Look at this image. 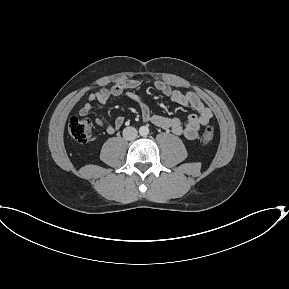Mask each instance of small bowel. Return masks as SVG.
Wrapping results in <instances>:
<instances>
[{"mask_svg": "<svg viewBox=\"0 0 289 289\" xmlns=\"http://www.w3.org/2000/svg\"><path fill=\"white\" fill-rule=\"evenodd\" d=\"M141 83L137 79H121L109 88H102L90 94L87 102L79 111L80 116L87 117L91 113L92 104L95 102L105 105L111 97L125 95L139 105L144 121L151 122L159 128L170 130L175 135L189 140L195 139L201 128L207 125L212 118L211 109L194 92H182L173 89L162 81L155 84V88L160 93L179 105L192 108L196 113L190 115L185 124L176 117L153 114L143 98L134 92L141 86ZM95 122L108 134H113L124 124L125 119L120 116L116 118L113 125L106 124L100 118H95Z\"/></svg>", "mask_w": 289, "mask_h": 289, "instance_id": "1", "label": "small bowel"}]
</instances>
